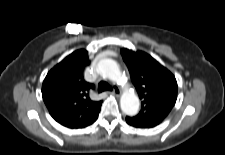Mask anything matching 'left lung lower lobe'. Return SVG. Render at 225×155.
Here are the masks:
<instances>
[{
  "instance_id": "1",
  "label": "left lung lower lobe",
  "mask_w": 225,
  "mask_h": 155,
  "mask_svg": "<svg viewBox=\"0 0 225 155\" xmlns=\"http://www.w3.org/2000/svg\"><path fill=\"white\" fill-rule=\"evenodd\" d=\"M126 122H127L129 125L136 127L131 117H126ZM139 128H140V127H139Z\"/></svg>"
}]
</instances>
